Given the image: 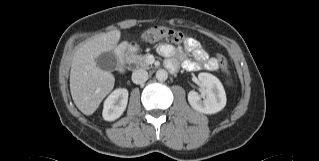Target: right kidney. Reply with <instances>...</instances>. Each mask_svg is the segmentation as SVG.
<instances>
[{"mask_svg":"<svg viewBox=\"0 0 319 161\" xmlns=\"http://www.w3.org/2000/svg\"><path fill=\"white\" fill-rule=\"evenodd\" d=\"M128 103V90L126 88L115 89L104 101L103 118L106 121L118 119L126 109Z\"/></svg>","mask_w":319,"mask_h":161,"instance_id":"right-kidney-1","label":"right kidney"}]
</instances>
